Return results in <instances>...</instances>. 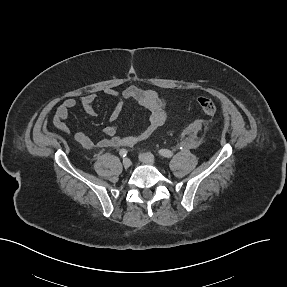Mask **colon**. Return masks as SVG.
Wrapping results in <instances>:
<instances>
[{
    "instance_id": "obj_1",
    "label": "colon",
    "mask_w": 287,
    "mask_h": 287,
    "mask_svg": "<svg viewBox=\"0 0 287 287\" xmlns=\"http://www.w3.org/2000/svg\"><path fill=\"white\" fill-rule=\"evenodd\" d=\"M198 105L202 112L208 116H212L216 113V105L210 98L200 97L198 99Z\"/></svg>"
}]
</instances>
